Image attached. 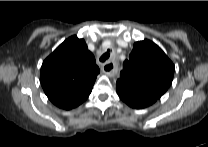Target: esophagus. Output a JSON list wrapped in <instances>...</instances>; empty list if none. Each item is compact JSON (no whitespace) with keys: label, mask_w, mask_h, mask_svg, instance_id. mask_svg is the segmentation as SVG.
<instances>
[{"label":"esophagus","mask_w":208,"mask_h":147,"mask_svg":"<svg viewBox=\"0 0 208 147\" xmlns=\"http://www.w3.org/2000/svg\"><path fill=\"white\" fill-rule=\"evenodd\" d=\"M102 70L104 73H106L110 77H114L117 73V69H116L114 63L111 61L106 62L103 65Z\"/></svg>","instance_id":"esophagus-1"}]
</instances>
